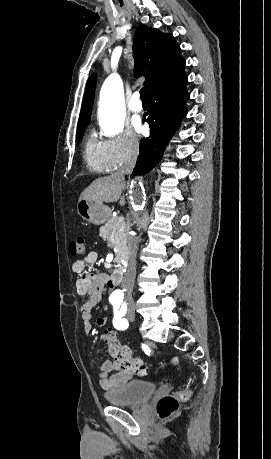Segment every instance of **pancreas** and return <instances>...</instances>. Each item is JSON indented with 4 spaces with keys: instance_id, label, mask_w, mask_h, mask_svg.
<instances>
[{
    "instance_id": "1",
    "label": "pancreas",
    "mask_w": 271,
    "mask_h": 459,
    "mask_svg": "<svg viewBox=\"0 0 271 459\" xmlns=\"http://www.w3.org/2000/svg\"><path fill=\"white\" fill-rule=\"evenodd\" d=\"M127 226L124 222V218H111L106 226L100 228V235L102 237H107L108 242L111 245H116V247H124L126 245V239L128 233Z\"/></svg>"
}]
</instances>
